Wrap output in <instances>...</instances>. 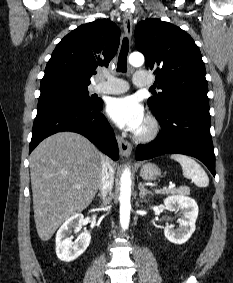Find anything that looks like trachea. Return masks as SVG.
<instances>
[{"mask_svg":"<svg viewBox=\"0 0 233 283\" xmlns=\"http://www.w3.org/2000/svg\"><path fill=\"white\" fill-rule=\"evenodd\" d=\"M129 51L128 39L124 38L122 41L121 51L119 53L117 71L126 72L127 70V55Z\"/></svg>","mask_w":233,"mask_h":283,"instance_id":"1","label":"trachea"}]
</instances>
